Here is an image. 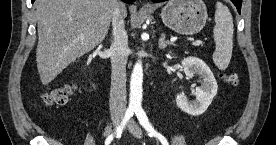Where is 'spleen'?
Segmentation results:
<instances>
[{
    "instance_id": "obj_1",
    "label": "spleen",
    "mask_w": 276,
    "mask_h": 145,
    "mask_svg": "<svg viewBox=\"0 0 276 145\" xmlns=\"http://www.w3.org/2000/svg\"><path fill=\"white\" fill-rule=\"evenodd\" d=\"M215 23L213 62L220 70H225L232 56L234 25L229 9L221 2L216 3Z\"/></svg>"
}]
</instances>
